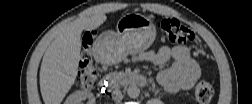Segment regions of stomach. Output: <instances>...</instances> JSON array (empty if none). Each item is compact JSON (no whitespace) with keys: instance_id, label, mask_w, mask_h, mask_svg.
Wrapping results in <instances>:
<instances>
[{"instance_id":"stomach-1","label":"stomach","mask_w":252,"mask_h":104,"mask_svg":"<svg viewBox=\"0 0 252 104\" xmlns=\"http://www.w3.org/2000/svg\"><path fill=\"white\" fill-rule=\"evenodd\" d=\"M116 30L104 32L95 43L96 52L108 64L119 63L129 54L145 51L156 37L152 20L138 13L123 15L117 22Z\"/></svg>"}]
</instances>
